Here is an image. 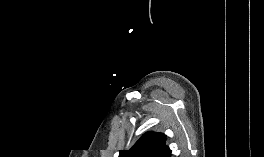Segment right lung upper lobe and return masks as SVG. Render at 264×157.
Returning a JSON list of instances; mask_svg holds the SVG:
<instances>
[{"label": "right lung upper lobe", "instance_id": "cb5924a9", "mask_svg": "<svg viewBox=\"0 0 264 157\" xmlns=\"http://www.w3.org/2000/svg\"><path fill=\"white\" fill-rule=\"evenodd\" d=\"M162 133L147 132L129 150H121L119 157H171V150L165 145Z\"/></svg>", "mask_w": 264, "mask_h": 157}]
</instances>
